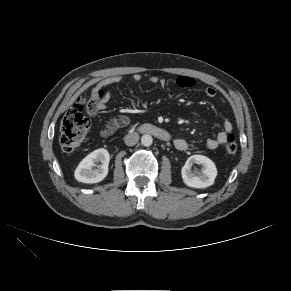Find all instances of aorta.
<instances>
[{"label": "aorta", "instance_id": "obj_1", "mask_svg": "<svg viewBox=\"0 0 291 291\" xmlns=\"http://www.w3.org/2000/svg\"><path fill=\"white\" fill-rule=\"evenodd\" d=\"M153 142V138L151 135L149 134H144L142 137H141V143L142 145L144 146H150Z\"/></svg>", "mask_w": 291, "mask_h": 291}]
</instances>
